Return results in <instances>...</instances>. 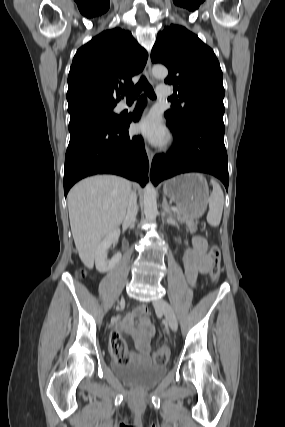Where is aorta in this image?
<instances>
[{
    "mask_svg": "<svg viewBox=\"0 0 285 427\" xmlns=\"http://www.w3.org/2000/svg\"><path fill=\"white\" fill-rule=\"evenodd\" d=\"M152 74L156 78L164 79L168 75V70L163 65H155L152 68ZM144 214L149 220H155L158 214L156 191L151 181L146 184L144 189Z\"/></svg>",
    "mask_w": 285,
    "mask_h": 427,
    "instance_id": "aorta-1",
    "label": "aorta"
}]
</instances>
